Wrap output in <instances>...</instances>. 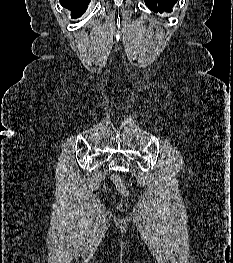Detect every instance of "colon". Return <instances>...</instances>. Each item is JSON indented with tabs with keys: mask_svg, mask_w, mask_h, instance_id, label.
<instances>
[{
	"mask_svg": "<svg viewBox=\"0 0 233 263\" xmlns=\"http://www.w3.org/2000/svg\"><path fill=\"white\" fill-rule=\"evenodd\" d=\"M113 180L116 183V186L119 190V192L125 196L128 197L129 196V191L128 189L125 187V185L123 184V182L119 179V177L117 175L113 176Z\"/></svg>",
	"mask_w": 233,
	"mask_h": 263,
	"instance_id": "1",
	"label": "colon"
}]
</instances>
